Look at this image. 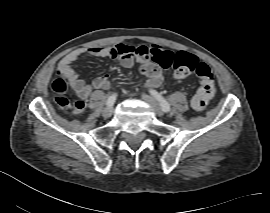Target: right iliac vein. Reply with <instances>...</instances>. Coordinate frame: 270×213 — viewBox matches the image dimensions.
Wrapping results in <instances>:
<instances>
[{
	"instance_id": "right-iliac-vein-1",
	"label": "right iliac vein",
	"mask_w": 270,
	"mask_h": 213,
	"mask_svg": "<svg viewBox=\"0 0 270 213\" xmlns=\"http://www.w3.org/2000/svg\"><path fill=\"white\" fill-rule=\"evenodd\" d=\"M103 116L104 117H106V118H108V117H110L112 114H113V107H111V106H108V107H106L104 110H103Z\"/></svg>"
}]
</instances>
